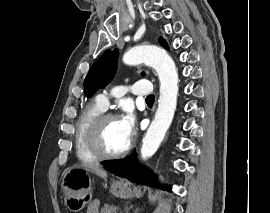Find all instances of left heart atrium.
I'll list each match as a JSON object with an SVG mask.
<instances>
[{
  "mask_svg": "<svg viewBox=\"0 0 270 213\" xmlns=\"http://www.w3.org/2000/svg\"><path fill=\"white\" fill-rule=\"evenodd\" d=\"M119 121L126 139L128 140V142H130L131 139L133 138L135 129V120L133 114L130 111H128L121 117Z\"/></svg>",
  "mask_w": 270,
  "mask_h": 213,
  "instance_id": "obj_1",
  "label": "left heart atrium"
}]
</instances>
